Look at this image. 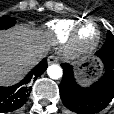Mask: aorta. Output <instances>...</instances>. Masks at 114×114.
<instances>
[{"instance_id": "762f6f07", "label": "aorta", "mask_w": 114, "mask_h": 114, "mask_svg": "<svg viewBox=\"0 0 114 114\" xmlns=\"http://www.w3.org/2000/svg\"><path fill=\"white\" fill-rule=\"evenodd\" d=\"M47 74L52 79H59L62 77L63 71L59 65L52 64L48 67Z\"/></svg>"}]
</instances>
